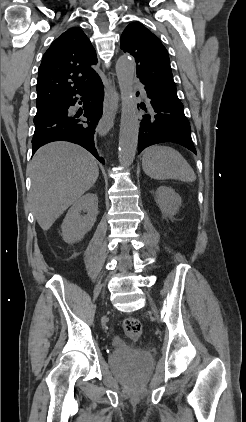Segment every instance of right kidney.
<instances>
[{
  "label": "right kidney",
  "instance_id": "right-kidney-1",
  "mask_svg": "<svg viewBox=\"0 0 246 422\" xmlns=\"http://www.w3.org/2000/svg\"><path fill=\"white\" fill-rule=\"evenodd\" d=\"M82 211L87 214L82 216ZM97 215V195L87 193L80 197L68 210L61 225L63 240L66 243H74L81 240L94 226Z\"/></svg>",
  "mask_w": 246,
  "mask_h": 422
}]
</instances>
